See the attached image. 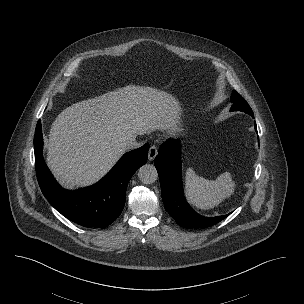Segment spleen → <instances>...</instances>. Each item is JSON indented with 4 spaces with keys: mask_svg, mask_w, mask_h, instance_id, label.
I'll return each mask as SVG.
<instances>
[{
    "mask_svg": "<svg viewBox=\"0 0 304 304\" xmlns=\"http://www.w3.org/2000/svg\"><path fill=\"white\" fill-rule=\"evenodd\" d=\"M235 183L230 173L221 174L216 180H207L195 174L192 168L185 175V193L189 202L199 209H211L230 197Z\"/></svg>",
    "mask_w": 304,
    "mask_h": 304,
    "instance_id": "3e777b00",
    "label": "spleen"
}]
</instances>
